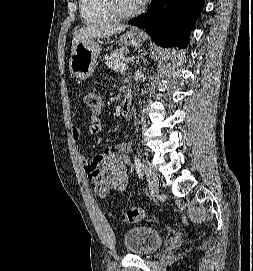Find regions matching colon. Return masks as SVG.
<instances>
[{"instance_id": "obj_1", "label": "colon", "mask_w": 253, "mask_h": 271, "mask_svg": "<svg viewBox=\"0 0 253 271\" xmlns=\"http://www.w3.org/2000/svg\"><path fill=\"white\" fill-rule=\"evenodd\" d=\"M84 100L89 109L93 114H97L102 108V98L101 96L92 90H87L84 92ZM143 218V210L140 207L132 206L128 208L122 214V220L126 223L138 222Z\"/></svg>"}]
</instances>
